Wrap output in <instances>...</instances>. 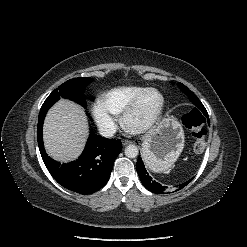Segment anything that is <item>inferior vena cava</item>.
<instances>
[{
  "label": "inferior vena cava",
  "mask_w": 247,
  "mask_h": 247,
  "mask_svg": "<svg viewBox=\"0 0 247 247\" xmlns=\"http://www.w3.org/2000/svg\"><path fill=\"white\" fill-rule=\"evenodd\" d=\"M99 132L103 137H112L116 132V127L113 124L101 125L99 127Z\"/></svg>",
  "instance_id": "602c4592"
}]
</instances>
